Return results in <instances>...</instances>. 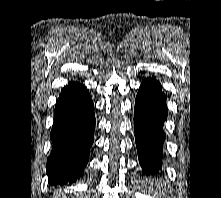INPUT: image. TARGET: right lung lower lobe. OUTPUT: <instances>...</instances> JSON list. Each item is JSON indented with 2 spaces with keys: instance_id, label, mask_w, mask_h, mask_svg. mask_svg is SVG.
<instances>
[{
  "instance_id": "1",
  "label": "right lung lower lobe",
  "mask_w": 221,
  "mask_h": 198,
  "mask_svg": "<svg viewBox=\"0 0 221 198\" xmlns=\"http://www.w3.org/2000/svg\"><path fill=\"white\" fill-rule=\"evenodd\" d=\"M94 106L88 90L77 82L61 90L50 134L52 151L46 172L50 185L73 183L84 173L95 128Z\"/></svg>"
}]
</instances>
